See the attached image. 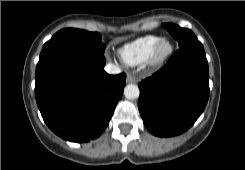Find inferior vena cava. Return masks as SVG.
<instances>
[{
	"instance_id": "1",
	"label": "inferior vena cava",
	"mask_w": 245,
	"mask_h": 170,
	"mask_svg": "<svg viewBox=\"0 0 245 170\" xmlns=\"http://www.w3.org/2000/svg\"><path fill=\"white\" fill-rule=\"evenodd\" d=\"M104 70L108 73V74H119L121 73V69L114 65V64H107L105 67H104Z\"/></svg>"
}]
</instances>
